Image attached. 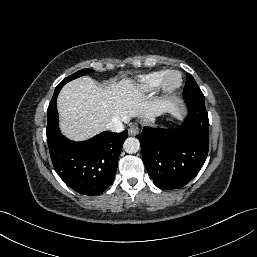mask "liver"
<instances>
[{
    "label": "liver",
    "mask_w": 257,
    "mask_h": 257,
    "mask_svg": "<svg viewBox=\"0 0 257 257\" xmlns=\"http://www.w3.org/2000/svg\"><path fill=\"white\" fill-rule=\"evenodd\" d=\"M57 108L61 132L74 141L100 133L113 117L124 123L135 116L152 121L165 109L177 110L172 102L149 101L130 78L101 87L88 76L77 78L62 88Z\"/></svg>",
    "instance_id": "6515ba94"
}]
</instances>
